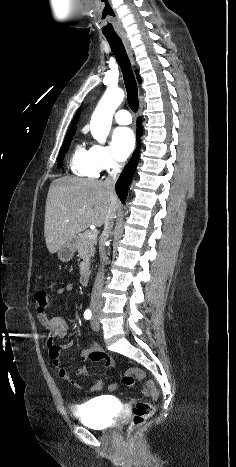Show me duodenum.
Returning a JSON list of instances; mask_svg holds the SVG:
<instances>
[{
  "mask_svg": "<svg viewBox=\"0 0 236 467\" xmlns=\"http://www.w3.org/2000/svg\"><path fill=\"white\" fill-rule=\"evenodd\" d=\"M80 283L82 286H87L89 283V272L83 271L80 277Z\"/></svg>",
  "mask_w": 236,
  "mask_h": 467,
  "instance_id": "1",
  "label": "duodenum"
}]
</instances>
